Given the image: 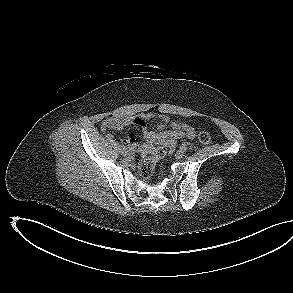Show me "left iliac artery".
Masks as SVG:
<instances>
[{"instance_id":"44dca946","label":"left iliac artery","mask_w":293,"mask_h":293,"mask_svg":"<svg viewBox=\"0 0 293 293\" xmlns=\"http://www.w3.org/2000/svg\"><path fill=\"white\" fill-rule=\"evenodd\" d=\"M180 150H182L183 152H185L187 150V146L185 144H182L180 146Z\"/></svg>"}]
</instances>
